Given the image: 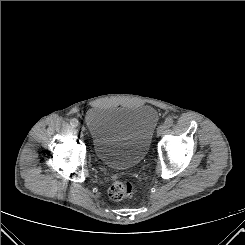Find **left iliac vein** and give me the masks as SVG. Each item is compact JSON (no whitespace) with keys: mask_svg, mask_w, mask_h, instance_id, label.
I'll list each match as a JSON object with an SVG mask.
<instances>
[{"mask_svg":"<svg viewBox=\"0 0 245 245\" xmlns=\"http://www.w3.org/2000/svg\"><path fill=\"white\" fill-rule=\"evenodd\" d=\"M165 129H166L165 125H160L157 129V135L158 136L162 135L164 133Z\"/></svg>","mask_w":245,"mask_h":245,"instance_id":"1","label":"left iliac vein"}]
</instances>
